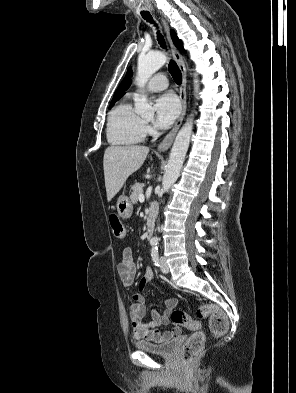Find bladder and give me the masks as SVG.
<instances>
[{"instance_id":"obj_1","label":"bladder","mask_w":296,"mask_h":393,"mask_svg":"<svg viewBox=\"0 0 296 393\" xmlns=\"http://www.w3.org/2000/svg\"><path fill=\"white\" fill-rule=\"evenodd\" d=\"M177 341L174 338H169L160 343H153L146 340H139L135 343V347L144 352H148L160 356H170L175 351Z\"/></svg>"}]
</instances>
